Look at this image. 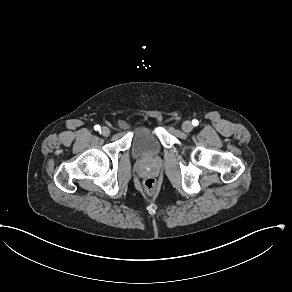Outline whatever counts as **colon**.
I'll use <instances>...</instances> for the list:
<instances>
[{
	"instance_id": "5ec220e1",
	"label": "colon",
	"mask_w": 292,
	"mask_h": 292,
	"mask_svg": "<svg viewBox=\"0 0 292 292\" xmlns=\"http://www.w3.org/2000/svg\"><path fill=\"white\" fill-rule=\"evenodd\" d=\"M156 189V182L152 178H148L144 182V190L148 195H152Z\"/></svg>"
}]
</instances>
